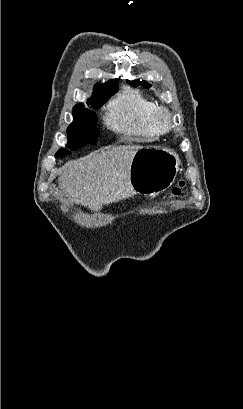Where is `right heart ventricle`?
<instances>
[{"label": "right heart ventricle", "mask_w": 243, "mask_h": 409, "mask_svg": "<svg viewBox=\"0 0 243 409\" xmlns=\"http://www.w3.org/2000/svg\"><path fill=\"white\" fill-rule=\"evenodd\" d=\"M157 107L137 90L126 88L109 103L106 123L129 139L151 142L159 136L153 121Z\"/></svg>", "instance_id": "1"}]
</instances>
